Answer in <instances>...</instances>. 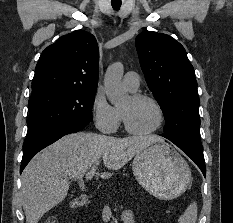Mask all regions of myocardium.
Returning a JSON list of instances; mask_svg holds the SVG:
<instances>
[{"mask_svg":"<svg viewBox=\"0 0 233 223\" xmlns=\"http://www.w3.org/2000/svg\"><path fill=\"white\" fill-rule=\"evenodd\" d=\"M130 98L132 100H134V101L145 100V101L151 102L156 107V109L158 111V114H159V124H158V126L156 128H154L151 131H148V132H137V131L133 130L130 127L125 114L121 111L120 112L121 120L123 122V125H124V128H125L126 132L129 135H132V136H135V137H148V136H151V135H154V134L160 132L163 129V127L165 125V120H166L165 112H164V109H163L162 105L154 97H152L150 95H146V94L135 93V94H132L130 96Z\"/></svg>","mask_w":233,"mask_h":223,"instance_id":"1","label":"myocardium"}]
</instances>
